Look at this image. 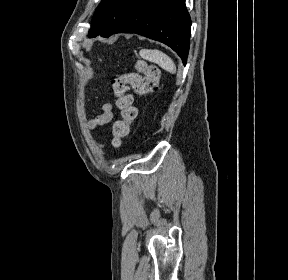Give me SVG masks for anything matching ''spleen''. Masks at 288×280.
Here are the masks:
<instances>
[{"label":"spleen","mask_w":288,"mask_h":280,"mask_svg":"<svg viewBox=\"0 0 288 280\" xmlns=\"http://www.w3.org/2000/svg\"><path fill=\"white\" fill-rule=\"evenodd\" d=\"M140 56L145 60L158 64L162 69L172 74L176 73V66L173 60L162 51L157 49H142L140 50Z\"/></svg>","instance_id":"1"}]
</instances>
